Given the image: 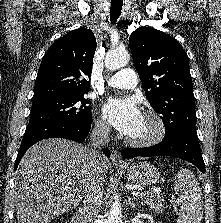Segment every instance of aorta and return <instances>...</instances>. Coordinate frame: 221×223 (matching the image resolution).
I'll use <instances>...</instances> for the list:
<instances>
[{"instance_id": "aorta-1", "label": "aorta", "mask_w": 221, "mask_h": 223, "mask_svg": "<svg viewBox=\"0 0 221 223\" xmlns=\"http://www.w3.org/2000/svg\"><path fill=\"white\" fill-rule=\"evenodd\" d=\"M129 59L130 55L126 50H110L105 57V67L113 71L126 66ZM108 223H122V211L119 203L112 204Z\"/></svg>"}]
</instances>
